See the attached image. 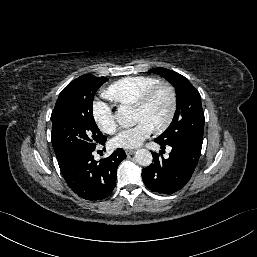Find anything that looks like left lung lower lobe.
Here are the masks:
<instances>
[{
    "mask_svg": "<svg viewBox=\"0 0 257 257\" xmlns=\"http://www.w3.org/2000/svg\"><path fill=\"white\" fill-rule=\"evenodd\" d=\"M155 142L161 145V149L170 146L172 150L168 159L152 152L153 163L142 170V179L151 191L170 195L190 180L201 155L202 144L183 141L163 144L156 139Z\"/></svg>",
    "mask_w": 257,
    "mask_h": 257,
    "instance_id": "1",
    "label": "left lung lower lobe"
}]
</instances>
